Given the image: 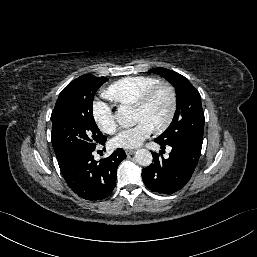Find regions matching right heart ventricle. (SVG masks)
<instances>
[{"label":"right heart ventricle","instance_id":"1","mask_svg":"<svg viewBox=\"0 0 257 257\" xmlns=\"http://www.w3.org/2000/svg\"><path fill=\"white\" fill-rule=\"evenodd\" d=\"M158 82L150 76L125 77L110 84L104 96L121 106H134L142 94Z\"/></svg>","mask_w":257,"mask_h":257}]
</instances>
